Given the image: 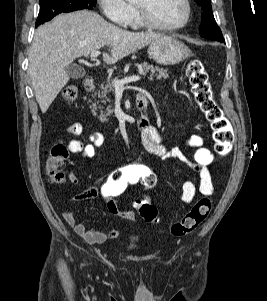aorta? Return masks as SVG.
Listing matches in <instances>:
<instances>
[{
  "mask_svg": "<svg viewBox=\"0 0 267 301\" xmlns=\"http://www.w3.org/2000/svg\"><path fill=\"white\" fill-rule=\"evenodd\" d=\"M127 1L131 3V2H135L136 0H127Z\"/></svg>",
  "mask_w": 267,
  "mask_h": 301,
  "instance_id": "obj_1",
  "label": "aorta"
}]
</instances>
